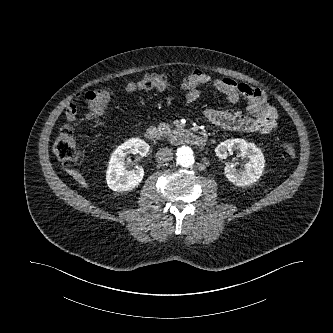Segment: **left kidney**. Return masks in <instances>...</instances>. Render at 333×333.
Masks as SVG:
<instances>
[{"label":"left kidney","instance_id":"left-kidney-1","mask_svg":"<svg viewBox=\"0 0 333 333\" xmlns=\"http://www.w3.org/2000/svg\"><path fill=\"white\" fill-rule=\"evenodd\" d=\"M234 148L239 149L242 157H247L249 161L245 164L244 170H237L234 163H227L225 176L237 186H247L256 182L262 174L265 159L262 151L253 143L235 138L221 142L216 148V155L221 159H226Z\"/></svg>","mask_w":333,"mask_h":333}]
</instances>
